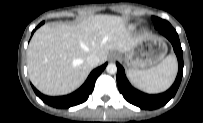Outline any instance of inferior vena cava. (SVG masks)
I'll return each instance as SVG.
<instances>
[{"label":"inferior vena cava","instance_id":"602c4592","mask_svg":"<svg viewBox=\"0 0 203 123\" xmlns=\"http://www.w3.org/2000/svg\"><path fill=\"white\" fill-rule=\"evenodd\" d=\"M86 62L89 66L96 67L99 63V58L96 55H90L87 57Z\"/></svg>","mask_w":203,"mask_h":123}]
</instances>
